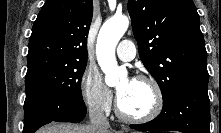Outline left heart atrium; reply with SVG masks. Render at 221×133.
Here are the masks:
<instances>
[{"label":"left heart atrium","mask_w":221,"mask_h":133,"mask_svg":"<svg viewBox=\"0 0 221 133\" xmlns=\"http://www.w3.org/2000/svg\"><path fill=\"white\" fill-rule=\"evenodd\" d=\"M132 80H134V79H129V81H132ZM118 95H120V92H118Z\"/></svg>","instance_id":"1"}]
</instances>
